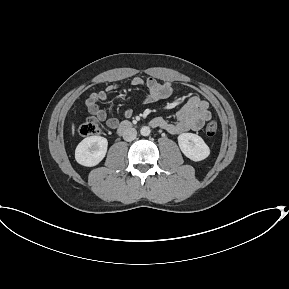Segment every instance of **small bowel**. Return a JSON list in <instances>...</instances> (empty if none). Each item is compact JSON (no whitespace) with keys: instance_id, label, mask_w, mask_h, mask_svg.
Segmentation results:
<instances>
[{"instance_id":"1","label":"small bowel","mask_w":289,"mask_h":289,"mask_svg":"<svg viewBox=\"0 0 289 289\" xmlns=\"http://www.w3.org/2000/svg\"><path fill=\"white\" fill-rule=\"evenodd\" d=\"M129 85L147 88L148 94L143 99L144 104L165 100L173 93V87L170 82L161 83L152 77L146 79L135 77L131 79ZM121 87L119 84H111L107 86L105 90L91 94L86 100L88 112L99 121L105 122L111 129H116L119 126V120L113 117L108 118L106 112L99 107V103L107 101L109 93ZM208 108L209 105L206 100L194 95L191 96L186 104L178 111L174 121H168L162 117H155L152 119V123L171 135H179L188 131H198L211 117ZM132 115V109L125 110L124 116L126 118H130Z\"/></svg>"}]
</instances>
